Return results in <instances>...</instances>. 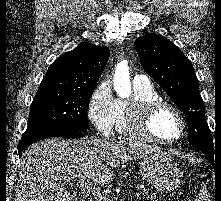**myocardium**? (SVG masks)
<instances>
[{
    "label": "myocardium",
    "instance_id": "obj_1",
    "mask_svg": "<svg viewBox=\"0 0 221 201\" xmlns=\"http://www.w3.org/2000/svg\"><path fill=\"white\" fill-rule=\"evenodd\" d=\"M162 110H169L177 117L181 127L178 137L162 139L152 133L150 123L154 116ZM127 126L134 136L162 145L174 144L180 141L186 133V123L181 112L163 99L131 103L127 110Z\"/></svg>",
    "mask_w": 221,
    "mask_h": 201
}]
</instances>
